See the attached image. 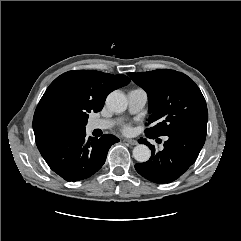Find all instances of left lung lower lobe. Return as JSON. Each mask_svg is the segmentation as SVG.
Returning <instances> with one entry per match:
<instances>
[{"mask_svg": "<svg viewBox=\"0 0 241 241\" xmlns=\"http://www.w3.org/2000/svg\"><path fill=\"white\" fill-rule=\"evenodd\" d=\"M155 138L152 135H146ZM164 149L156 151L154 145L142 140L149 147L150 159L135 165L137 172L154 183L165 184L177 180L196 161L206 138V130L192 129L168 135Z\"/></svg>", "mask_w": 241, "mask_h": 241, "instance_id": "obj_1", "label": "left lung lower lobe"}]
</instances>
